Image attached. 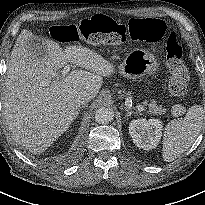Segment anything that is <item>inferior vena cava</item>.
<instances>
[{"label":"inferior vena cava","instance_id":"inferior-vena-cava-1","mask_svg":"<svg viewBox=\"0 0 205 205\" xmlns=\"http://www.w3.org/2000/svg\"><path fill=\"white\" fill-rule=\"evenodd\" d=\"M92 99V96L89 93L86 92H80L75 97V103L78 106L85 105L87 102H89Z\"/></svg>","mask_w":205,"mask_h":205}]
</instances>
